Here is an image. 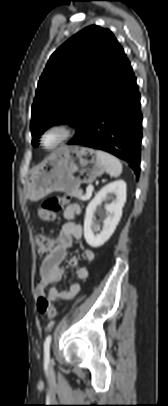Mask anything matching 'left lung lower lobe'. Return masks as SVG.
Here are the masks:
<instances>
[{"instance_id": "1", "label": "left lung lower lobe", "mask_w": 168, "mask_h": 406, "mask_svg": "<svg viewBox=\"0 0 168 406\" xmlns=\"http://www.w3.org/2000/svg\"><path fill=\"white\" fill-rule=\"evenodd\" d=\"M141 127L140 94L130 62L124 54L97 98L82 131L68 144L107 151L129 162L138 177Z\"/></svg>"}]
</instances>
